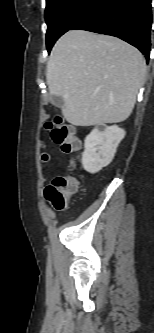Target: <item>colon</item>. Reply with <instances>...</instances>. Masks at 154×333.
Returning <instances> with one entry per match:
<instances>
[{
  "label": "colon",
  "mask_w": 154,
  "mask_h": 333,
  "mask_svg": "<svg viewBox=\"0 0 154 333\" xmlns=\"http://www.w3.org/2000/svg\"><path fill=\"white\" fill-rule=\"evenodd\" d=\"M45 126L49 130L53 142L60 146L62 152L67 154L78 152L80 141L71 125L55 118L53 121L47 122ZM41 159L43 162H47L49 155L43 152ZM72 164L75 165V159L72 160ZM77 189L78 182L73 176H57L45 188L44 197L53 208L62 210L65 208L68 199L77 192Z\"/></svg>",
  "instance_id": "obj_1"
}]
</instances>
